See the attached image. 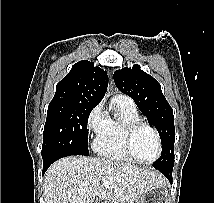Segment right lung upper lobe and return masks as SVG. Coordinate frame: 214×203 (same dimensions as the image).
I'll return each instance as SVG.
<instances>
[{
  "mask_svg": "<svg viewBox=\"0 0 214 203\" xmlns=\"http://www.w3.org/2000/svg\"><path fill=\"white\" fill-rule=\"evenodd\" d=\"M108 86L106 71L93 62L82 60L57 84L51 102H71L98 105Z\"/></svg>",
  "mask_w": 214,
  "mask_h": 203,
  "instance_id": "1",
  "label": "right lung upper lobe"
}]
</instances>
